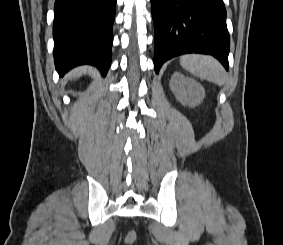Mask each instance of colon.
I'll return each instance as SVG.
<instances>
[{
    "label": "colon",
    "instance_id": "obj_1",
    "mask_svg": "<svg viewBox=\"0 0 283 245\" xmlns=\"http://www.w3.org/2000/svg\"><path fill=\"white\" fill-rule=\"evenodd\" d=\"M136 240H137V232L134 230L129 231L124 237V242L126 244H132Z\"/></svg>",
    "mask_w": 283,
    "mask_h": 245
}]
</instances>
